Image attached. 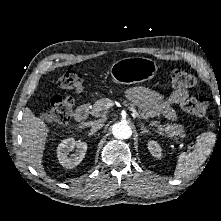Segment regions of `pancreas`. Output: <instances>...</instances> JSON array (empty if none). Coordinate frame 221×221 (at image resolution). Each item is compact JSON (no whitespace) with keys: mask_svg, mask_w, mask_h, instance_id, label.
Listing matches in <instances>:
<instances>
[{"mask_svg":"<svg viewBox=\"0 0 221 221\" xmlns=\"http://www.w3.org/2000/svg\"><path fill=\"white\" fill-rule=\"evenodd\" d=\"M109 103H113V101L109 98H102V99L97 100L93 104L91 114L95 117H99L102 114H105ZM125 104L129 106L131 109L135 110L134 105L128 104L126 101H125ZM141 115L142 117L146 118L143 114ZM151 125L157 126L159 131L165 133L168 137H171V138L177 137V136L182 137L184 135V130L182 126L179 124L174 123V124L161 125L160 122L158 121H152Z\"/></svg>","mask_w":221,"mask_h":221,"instance_id":"obj_1","label":"pancreas"}]
</instances>
